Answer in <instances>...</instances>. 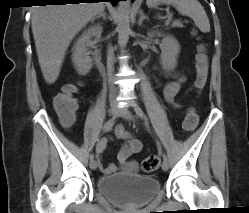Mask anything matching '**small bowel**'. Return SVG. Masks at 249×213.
<instances>
[{
	"label": "small bowel",
	"mask_w": 249,
	"mask_h": 213,
	"mask_svg": "<svg viewBox=\"0 0 249 213\" xmlns=\"http://www.w3.org/2000/svg\"><path fill=\"white\" fill-rule=\"evenodd\" d=\"M169 81L163 86L162 93L165 101L174 108H178L179 105L175 101V97L178 94L182 83L185 81V76L180 73H175L169 76ZM63 124L67 127L73 123L62 120ZM116 138L123 140L124 144L117 155V159L120 163H125L131 155L137 154L142 149V143L137 138H134L122 125H118L115 128ZM108 143L107 138H103L96 145L97 161L98 165L103 173L109 174L115 171L116 166L114 164H103L101 156L106 149Z\"/></svg>",
	"instance_id": "small-bowel-1"
}]
</instances>
